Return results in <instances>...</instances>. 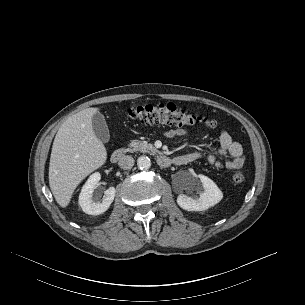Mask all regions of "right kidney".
Segmentation results:
<instances>
[{
    "mask_svg": "<svg viewBox=\"0 0 305 305\" xmlns=\"http://www.w3.org/2000/svg\"><path fill=\"white\" fill-rule=\"evenodd\" d=\"M101 179L100 173L96 172L92 174L85 185L82 187L79 195V205L86 214L99 215L108 210L109 206L114 200L116 190L114 187H110L104 193L102 202H95L92 199L94 189L98 185Z\"/></svg>",
    "mask_w": 305,
    "mask_h": 305,
    "instance_id": "obj_1",
    "label": "right kidney"
}]
</instances>
